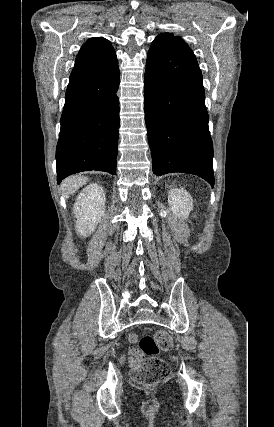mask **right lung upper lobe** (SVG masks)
Listing matches in <instances>:
<instances>
[{"label": "right lung upper lobe", "mask_w": 274, "mask_h": 427, "mask_svg": "<svg viewBox=\"0 0 274 427\" xmlns=\"http://www.w3.org/2000/svg\"><path fill=\"white\" fill-rule=\"evenodd\" d=\"M111 43L105 38H91L83 44L70 78L97 73L116 62Z\"/></svg>", "instance_id": "cb5924a9"}]
</instances>
